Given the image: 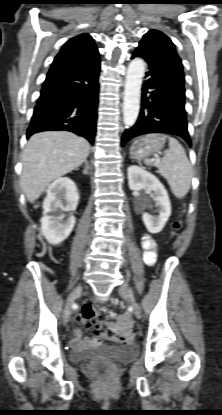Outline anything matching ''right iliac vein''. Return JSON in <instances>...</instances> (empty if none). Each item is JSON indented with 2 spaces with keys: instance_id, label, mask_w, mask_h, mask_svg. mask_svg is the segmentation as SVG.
I'll list each match as a JSON object with an SVG mask.
<instances>
[{
  "instance_id": "63e3f726",
  "label": "right iliac vein",
  "mask_w": 222,
  "mask_h": 415,
  "mask_svg": "<svg viewBox=\"0 0 222 415\" xmlns=\"http://www.w3.org/2000/svg\"><path fill=\"white\" fill-rule=\"evenodd\" d=\"M81 292H82V286H77L74 289V291L68 296L67 301H66V305H65V309H64V313H63L64 322L68 321L69 315H70V312H71L72 304L80 296Z\"/></svg>"
}]
</instances>
